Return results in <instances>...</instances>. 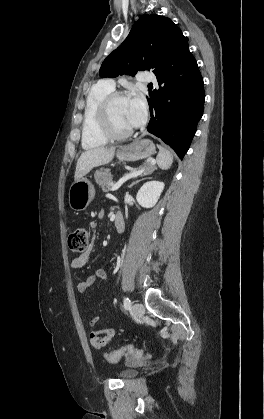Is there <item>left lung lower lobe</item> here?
<instances>
[{
  "label": "left lung lower lobe",
  "mask_w": 264,
  "mask_h": 419,
  "mask_svg": "<svg viewBox=\"0 0 264 419\" xmlns=\"http://www.w3.org/2000/svg\"><path fill=\"white\" fill-rule=\"evenodd\" d=\"M159 89L149 93L151 119L147 130L162 139L183 159L203 115V78L188 38L181 34L164 51L155 74Z\"/></svg>",
  "instance_id": "1"
}]
</instances>
